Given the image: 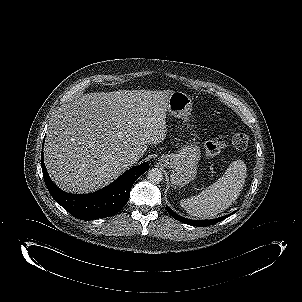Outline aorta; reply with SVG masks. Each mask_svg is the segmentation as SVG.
Instances as JSON below:
<instances>
[{"mask_svg":"<svg viewBox=\"0 0 302 302\" xmlns=\"http://www.w3.org/2000/svg\"><path fill=\"white\" fill-rule=\"evenodd\" d=\"M147 179L151 183H160L163 180V173L158 168H152L147 173Z\"/></svg>","mask_w":302,"mask_h":302,"instance_id":"aorta-1","label":"aorta"}]
</instances>
